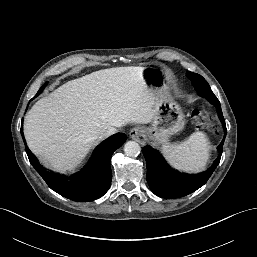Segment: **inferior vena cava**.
Here are the masks:
<instances>
[{"label": "inferior vena cava", "mask_w": 257, "mask_h": 257, "mask_svg": "<svg viewBox=\"0 0 257 257\" xmlns=\"http://www.w3.org/2000/svg\"><path fill=\"white\" fill-rule=\"evenodd\" d=\"M117 132V129L114 128V127H110L108 128L107 130H105L103 133H102V136L103 137H108L110 135H113Z\"/></svg>", "instance_id": "602c4592"}]
</instances>
